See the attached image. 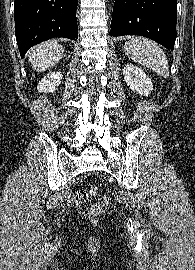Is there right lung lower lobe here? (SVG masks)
<instances>
[{
  "label": "right lung lower lobe",
  "instance_id": "right-lung-lower-lobe-1",
  "mask_svg": "<svg viewBox=\"0 0 195 270\" xmlns=\"http://www.w3.org/2000/svg\"><path fill=\"white\" fill-rule=\"evenodd\" d=\"M78 0H15V35L21 57L42 41L63 37L76 40Z\"/></svg>",
  "mask_w": 195,
  "mask_h": 270
}]
</instances>
